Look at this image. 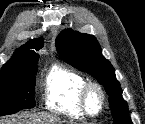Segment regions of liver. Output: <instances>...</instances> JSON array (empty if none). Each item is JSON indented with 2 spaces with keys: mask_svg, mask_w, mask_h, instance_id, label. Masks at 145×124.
<instances>
[{
  "mask_svg": "<svg viewBox=\"0 0 145 124\" xmlns=\"http://www.w3.org/2000/svg\"><path fill=\"white\" fill-rule=\"evenodd\" d=\"M0 124H63V122L55 115L23 113L18 120H1Z\"/></svg>",
  "mask_w": 145,
  "mask_h": 124,
  "instance_id": "6515ba94",
  "label": "liver"
}]
</instances>
